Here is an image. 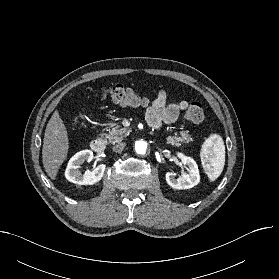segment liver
Listing matches in <instances>:
<instances>
[{"instance_id": "1", "label": "liver", "mask_w": 279, "mask_h": 279, "mask_svg": "<svg viewBox=\"0 0 279 279\" xmlns=\"http://www.w3.org/2000/svg\"><path fill=\"white\" fill-rule=\"evenodd\" d=\"M69 139L66 127L56 110L46 126L42 162L48 176L55 180L58 170L67 157Z\"/></svg>"}]
</instances>
